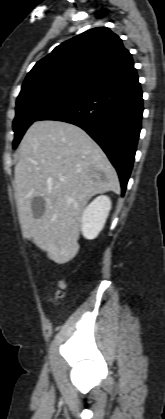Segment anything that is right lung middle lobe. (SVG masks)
Instances as JSON below:
<instances>
[{
    "mask_svg": "<svg viewBox=\"0 0 165 419\" xmlns=\"http://www.w3.org/2000/svg\"><path fill=\"white\" fill-rule=\"evenodd\" d=\"M88 92L69 87H49L28 92L17 98L16 116L13 121L15 149L27 128L39 120L49 111L58 108L68 102H72Z\"/></svg>",
    "mask_w": 165,
    "mask_h": 419,
    "instance_id": "1",
    "label": "right lung middle lobe"
}]
</instances>
